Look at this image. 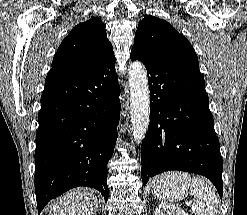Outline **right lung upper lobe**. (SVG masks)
I'll return each mask as SVG.
<instances>
[{
  "label": "right lung upper lobe",
  "mask_w": 247,
  "mask_h": 215,
  "mask_svg": "<svg viewBox=\"0 0 247 215\" xmlns=\"http://www.w3.org/2000/svg\"><path fill=\"white\" fill-rule=\"evenodd\" d=\"M115 59L103 22L92 17L75 26L64 38L52 61V68L72 74H86Z\"/></svg>",
  "instance_id": "1"
}]
</instances>
